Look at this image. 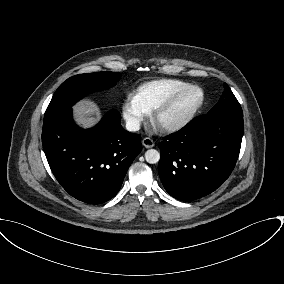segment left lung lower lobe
<instances>
[{
	"label": "left lung lower lobe",
	"mask_w": 284,
	"mask_h": 284,
	"mask_svg": "<svg viewBox=\"0 0 284 284\" xmlns=\"http://www.w3.org/2000/svg\"><path fill=\"white\" fill-rule=\"evenodd\" d=\"M243 131V114L214 112L164 137L158 172L166 191L192 201L216 190L234 169Z\"/></svg>",
	"instance_id": "obj_1"
}]
</instances>
